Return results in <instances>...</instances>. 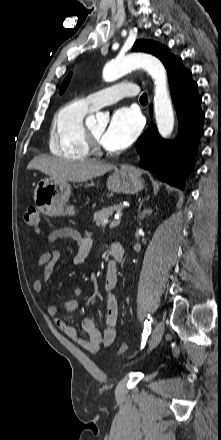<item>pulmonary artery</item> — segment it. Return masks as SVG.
Wrapping results in <instances>:
<instances>
[{"label":"pulmonary artery","mask_w":221,"mask_h":440,"mask_svg":"<svg viewBox=\"0 0 221 440\" xmlns=\"http://www.w3.org/2000/svg\"><path fill=\"white\" fill-rule=\"evenodd\" d=\"M138 86L135 83H120L88 95L85 100L95 110L114 103L124 97L136 96Z\"/></svg>","instance_id":"pulmonary-artery-1"}]
</instances>
